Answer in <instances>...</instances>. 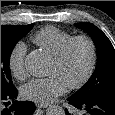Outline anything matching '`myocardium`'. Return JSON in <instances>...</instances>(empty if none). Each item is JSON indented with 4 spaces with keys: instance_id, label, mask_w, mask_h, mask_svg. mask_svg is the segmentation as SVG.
Wrapping results in <instances>:
<instances>
[{
    "instance_id": "f54148a6",
    "label": "myocardium",
    "mask_w": 115,
    "mask_h": 115,
    "mask_svg": "<svg viewBox=\"0 0 115 115\" xmlns=\"http://www.w3.org/2000/svg\"><path fill=\"white\" fill-rule=\"evenodd\" d=\"M77 43H83L87 46V48L89 50V57H90L89 58V66L87 68V71L85 72V74L83 75V77L80 80L68 85V88L71 90L80 89L90 80V78L92 77V75L96 69L97 58H98L97 48H96L94 41L88 36L81 35V36H74L70 40H68L61 47L59 52L53 57V61L56 64L61 65L66 60L71 48Z\"/></svg>"
}]
</instances>
